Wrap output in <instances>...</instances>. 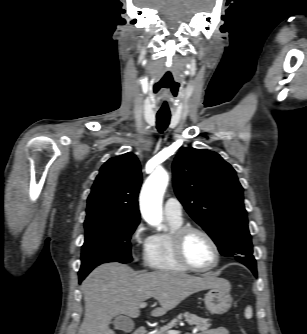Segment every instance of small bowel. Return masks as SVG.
<instances>
[{"label": "small bowel", "mask_w": 307, "mask_h": 334, "mask_svg": "<svg viewBox=\"0 0 307 334\" xmlns=\"http://www.w3.org/2000/svg\"><path fill=\"white\" fill-rule=\"evenodd\" d=\"M201 334H229V332L225 327H218L215 329L207 330Z\"/></svg>", "instance_id": "obj_1"}]
</instances>
